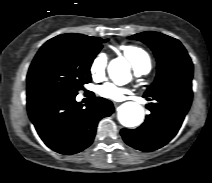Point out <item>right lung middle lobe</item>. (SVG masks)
<instances>
[{"label":"right lung middle lobe","mask_w":212,"mask_h":183,"mask_svg":"<svg viewBox=\"0 0 212 183\" xmlns=\"http://www.w3.org/2000/svg\"><path fill=\"white\" fill-rule=\"evenodd\" d=\"M108 40L59 35L36 54L27 75V92L56 90L77 95L91 81V64Z\"/></svg>","instance_id":"1"}]
</instances>
